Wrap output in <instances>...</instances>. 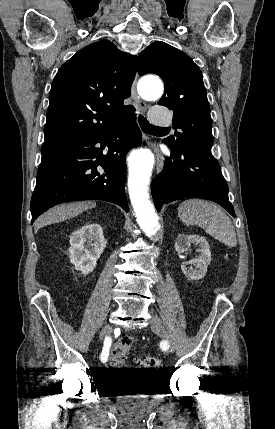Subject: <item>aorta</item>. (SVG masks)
<instances>
[{
	"instance_id": "obj_1",
	"label": "aorta",
	"mask_w": 275,
	"mask_h": 429,
	"mask_svg": "<svg viewBox=\"0 0 275 429\" xmlns=\"http://www.w3.org/2000/svg\"><path fill=\"white\" fill-rule=\"evenodd\" d=\"M163 84L156 77L140 82V94L146 100H157L163 94ZM154 156L147 149L135 151L129 161L128 191L136 220L144 233L151 237L158 230V216L149 200V183Z\"/></svg>"
}]
</instances>
